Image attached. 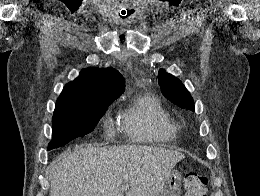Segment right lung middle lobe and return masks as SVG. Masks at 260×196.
Returning <instances> with one entry per match:
<instances>
[{
    "instance_id": "right-lung-middle-lobe-1",
    "label": "right lung middle lobe",
    "mask_w": 260,
    "mask_h": 196,
    "mask_svg": "<svg viewBox=\"0 0 260 196\" xmlns=\"http://www.w3.org/2000/svg\"><path fill=\"white\" fill-rule=\"evenodd\" d=\"M108 105L56 106L52 118V141L48 150L92 132Z\"/></svg>"
}]
</instances>
